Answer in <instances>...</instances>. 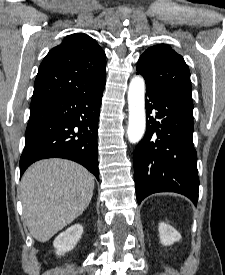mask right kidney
I'll return each mask as SVG.
<instances>
[{
	"label": "right kidney",
	"instance_id": "obj_1",
	"mask_svg": "<svg viewBox=\"0 0 225 275\" xmlns=\"http://www.w3.org/2000/svg\"><path fill=\"white\" fill-rule=\"evenodd\" d=\"M82 234L83 227L80 224H75L69 227L66 231L60 233L53 242L56 254L63 255L64 253L71 251L76 246Z\"/></svg>",
	"mask_w": 225,
	"mask_h": 275
}]
</instances>
